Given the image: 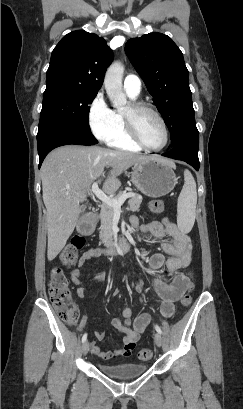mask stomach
Here are the masks:
<instances>
[{"label": "stomach", "mask_w": 243, "mask_h": 409, "mask_svg": "<svg viewBox=\"0 0 243 409\" xmlns=\"http://www.w3.org/2000/svg\"><path fill=\"white\" fill-rule=\"evenodd\" d=\"M173 166L166 159L150 157L133 167L132 183L148 197H162L170 193L177 183Z\"/></svg>", "instance_id": "0dacf381"}]
</instances>
